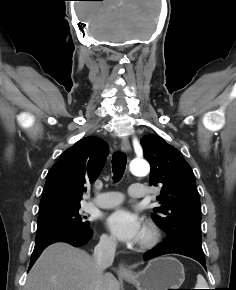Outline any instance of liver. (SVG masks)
<instances>
[{
    "label": "liver",
    "mask_w": 236,
    "mask_h": 290,
    "mask_svg": "<svg viewBox=\"0 0 236 290\" xmlns=\"http://www.w3.org/2000/svg\"><path fill=\"white\" fill-rule=\"evenodd\" d=\"M24 290H120V284L111 273H101L86 251L59 242L41 253Z\"/></svg>",
    "instance_id": "1"
}]
</instances>
